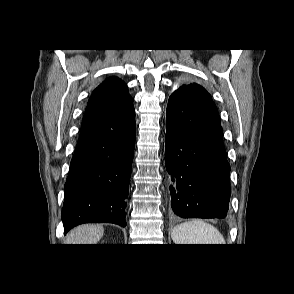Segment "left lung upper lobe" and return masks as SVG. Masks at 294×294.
<instances>
[{
	"instance_id": "1",
	"label": "left lung upper lobe",
	"mask_w": 294,
	"mask_h": 294,
	"mask_svg": "<svg viewBox=\"0 0 294 294\" xmlns=\"http://www.w3.org/2000/svg\"><path fill=\"white\" fill-rule=\"evenodd\" d=\"M171 96H178L191 101L213 102L209 93L196 83L183 84Z\"/></svg>"
}]
</instances>
